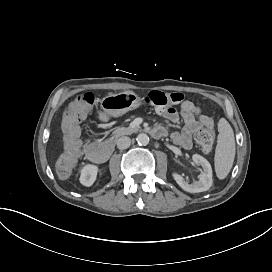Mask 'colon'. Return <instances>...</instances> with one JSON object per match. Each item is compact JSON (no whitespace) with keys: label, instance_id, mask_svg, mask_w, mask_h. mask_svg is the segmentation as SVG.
<instances>
[{"label":"colon","instance_id":"1","mask_svg":"<svg viewBox=\"0 0 272 272\" xmlns=\"http://www.w3.org/2000/svg\"><path fill=\"white\" fill-rule=\"evenodd\" d=\"M180 100H182V96L178 92L164 93L156 90L151 91L146 97L147 103L159 109H164ZM94 101L93 93L86 92L71 100L63 110L62 122L66 131L63 137L61 159L56 166L57 175L61 179L69 176L74 164L79 159L81 136L77 129L79 122L85 117L88 107L92 106ZM214 137L212 125L207 121L204 123L203 129L197 134L196 139L205 150H209L213 145Z\"/></svg>","mask_w":272,"mask_h":272}]
</instances>
